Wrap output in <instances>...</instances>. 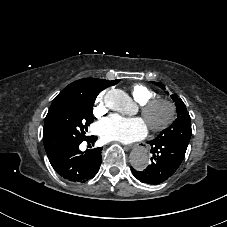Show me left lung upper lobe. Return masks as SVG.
<instances>
[{
    "label": "left lung upper lobe",
    "instance_id": "5c2ea615",
    "mask_svg": "<svg viewBox=\"0 0 227 227\" xmlns=\"http://www.w3.org/2000/svg\"><path fill=\"white\" fill-rule=\"evenodd\" d=\"M153 83L165 90L163 84L157 82ZM171 98L176 105L177 119L168 128L164 129L155 139L172 140L188 144L192 134L189 113L183 101L179 99L176 94L171 95Z\"/></svg>",
    "mask_w": 227,
    "mask_h": 227
}]
</instances>
